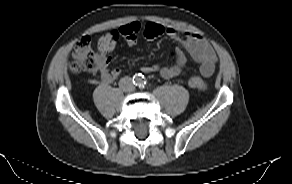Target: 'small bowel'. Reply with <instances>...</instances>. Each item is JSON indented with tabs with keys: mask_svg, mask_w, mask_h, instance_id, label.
I'll return each instance as SVG.
<instances>
[{
	"mask_svg": "<svg viewBox=\"0 0 292 184\" xmlns=\"http://www.w3.org/2000/svg\"><path fill=\"white\" fill-rule=\"evenodd\" d=\"M162 26V25H161ZM163 28V35L178 40L181 42L184 49L190 54L191 58L199 64L200 72L203 76H211L215 69L217 56L212 46L199 34L192 32H183L175 27ZM144 26L139 21H132L128 24L122 25L118 32L125 39L128 45L133 46L137 42V35L142 32ZM107 52L99 51L95 56V70L100 72V79L103 83L109 84L115 81L121 70L119 68H109L111 61ZM186 63L185 56L177 52L176 61L170 67H161L157 64L146 65L141 68L143 73L157 72L163 78H173L184 73V66Z\"/></svg>",
	"mask_w": 292,
	"mask_h": 184,
	"instance_id": "1",
	"label": "small bowel"
}]
</instances>
